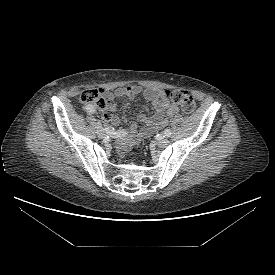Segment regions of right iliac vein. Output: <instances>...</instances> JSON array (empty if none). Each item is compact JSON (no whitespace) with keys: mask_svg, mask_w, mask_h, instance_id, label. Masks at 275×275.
I'll list each match as a JSON object with an SVG mask.
<instances>
[{"mask_svg":"<svg viewBox=\"0 0 275 275\" xmlns=\"http://www.w3.org/2000/svg\"><path fill=\"white\" fill-rule=\"evenodd\" d=\"M97 135L99 138H103L105 136V130L102 127L101 121L97 122Z\"/></svg>","mask_w":275,"mask_h":275,"instance_id":"right-iliac-vein-1","label":"right iliac vein"}]
</instances>
